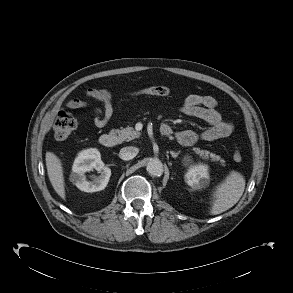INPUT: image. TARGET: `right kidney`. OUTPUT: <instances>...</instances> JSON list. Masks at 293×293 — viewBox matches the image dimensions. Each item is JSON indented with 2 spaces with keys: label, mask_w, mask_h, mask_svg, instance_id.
Instances as JSON below:
<instances>
[{
  "label": "right kidney",
  "mask_w": 293,
  "mask_h": 293,
  "mask_svg": "<svg viewBox=\"0 0 293 293\" xmlns=\"http://www.w3.org/2000/svg\"><path fill=\"white\" fill-rule=\"evenodd\" d=\"M97 170L100 174L93 181H88L86 172ZM111 176V169L101 160L100 152L95 148L81 151L72 166L70 181L84 192H97L105 189Z\"/></svg>",
  "instance_id": "1"
}]
</instances>
